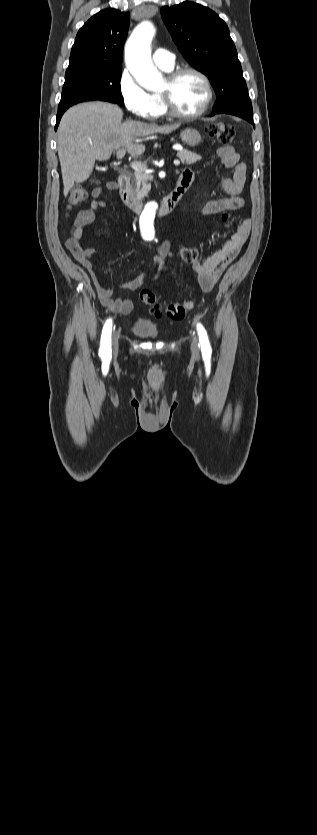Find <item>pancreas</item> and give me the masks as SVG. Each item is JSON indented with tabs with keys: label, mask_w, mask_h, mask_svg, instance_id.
Listing matches in <instances>:
<instances>
[{
	"label": "pancreas",
	"mask_w": 317,
	"mask_h": 835,
	"mask_svg": "<svg viewBox=\"0 0 317 835\" xmlns=\"http://www.w3.org/2000/svg\"><path fill=\"white\" fill-rule=\"evenodd\" d=\"M177 157L181 162L190 165L201 159V156L189 150H181L177 152ZM152 177L148 174H143L141 171H136L134 178L131 180V185L128 188L130 198L132 200H141L147 196L151 189Z\"/></svg>",
	"instance_id": "cf45deb5"
}]
</instances>
